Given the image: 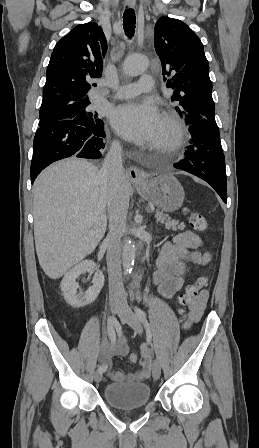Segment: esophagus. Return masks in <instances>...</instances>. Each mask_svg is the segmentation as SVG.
<instances>
[{"label": "esophagus", "instance_id": "obj_1", "mask_svg": "<svg viewBox=\"0 0 259 448\" xmlns=\"http://www.w3.org/2000/svg\"><path fill=\"white\" fill-rule=\"evenodd\" d=\"M126 3L128 6L134 7L136 0H126ZM128 172L133 183H140L143 179L144 173L136 166H131Z\"/></svg>", "mask_w": 259, "mask_h": 448}]
</instances>
